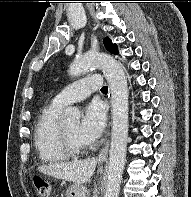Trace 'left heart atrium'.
Wrapping results in <instances>:
<instances>
[{
  "mask_svg": "<svg viewBox=\"0 0 191 197\" xmlns=\"http://www.w3.org/2000/svg\"><path fill=\"white\" fill-rule=\"evenodd\" d=\"M106 124V111L97 101L88 104L83 113L77 138L82 144L94 142L102 133Z\"/></svg>",
  "mask_w": 191,
  "mask_h": 197,
  "instance_id": "obj_1",
  "label": "left heart atrium"
}]
</instances>
